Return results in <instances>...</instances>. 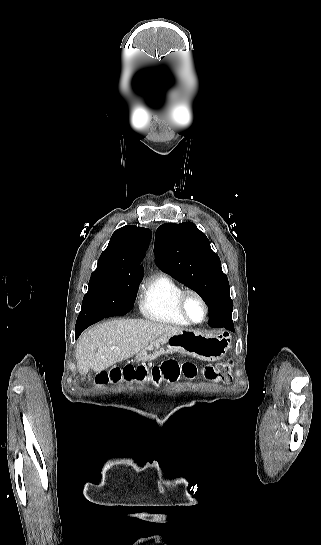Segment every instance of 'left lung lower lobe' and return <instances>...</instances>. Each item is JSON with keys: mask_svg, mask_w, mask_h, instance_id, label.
Here are the masks:
<instances>
[{"mask_svg": "<svg viewBox=\"0 0 321 545\" xmlns=\"http://www.w3.org/2000/svg\"><path fill=\"white\" fill-rule=\"evenodd\" d=\"M209 326L224 327L231 331L234 330L231 316L213 310H209Z\"/></svg>", "mask_w": 321, "mask_h": 545, "instance_id": "left-lung-lower-lobe-1", "label": "left lung lower lobe"}]
</instances>
